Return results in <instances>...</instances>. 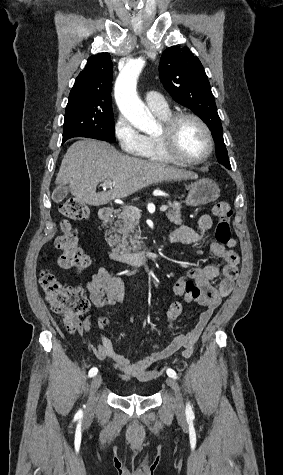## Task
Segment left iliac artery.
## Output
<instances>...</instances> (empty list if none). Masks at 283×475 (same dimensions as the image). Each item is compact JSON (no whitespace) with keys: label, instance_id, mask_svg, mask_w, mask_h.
I'll return each mask as SVG.
<instances>
[{"label":"left iliac artery","instance_id":"1","mask_svg":"<svg viewBox=\"0 0 283 475\" xmlns=\"http://www.w3.org/2000/svg\"><path fill=\"white\" fill-rule=\"evenodd\" d=\"M167 375H168L169 377L174 378V379L177 378L176 372H175L174 370H172V369H167ZM186 415H187V416H193V415H194V414H193V411H192V408H191V406H190L189 403L186 405Z\"/></svg>","mask_w":283,"mask_h":475}]
</instances>
